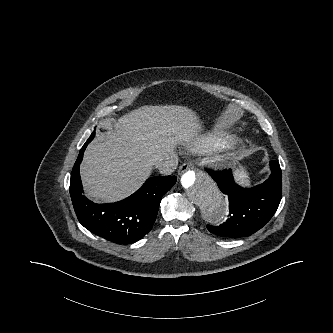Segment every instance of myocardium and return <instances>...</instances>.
Listing matches in <instances>:
<instances>
[{
	"instance_id": "f54148a6",
	"label": "myocardium",
	"mask_w": 333,
	"mask_h": 333,
	"mask_svg": "<svg viewBox=\"0 0 333 333\" xmlns=\"http://www.w3.org/2000/svg\"><path fill=\"white\" fill-rule=\"evenodd\" d=\"M217 161H218V163H221L222 162V158H218Z\"/></svg>"
}]
</instances>
